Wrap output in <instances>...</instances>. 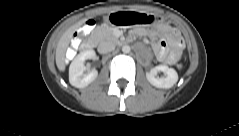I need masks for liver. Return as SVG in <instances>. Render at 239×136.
<instances>
[{
  "label": "liver",
  "instance_id": "liver-1",
  "mask_svg": "<svg viewBox=\"0 0 239 136\" xmlns=\"http://www.w3.org/2000/svg\"><path fill=\"white\" fill-rule=\"evenodd\" d=\"M85 20L86 19L80 20L79 22L68 28L58 41L56 48V65L60 71L65 70V53L70 40L73 37L74 32L81 27Z\"/></svg>",
  "mask_w": 239,
  "mask_h": 136
}]
</instances>
